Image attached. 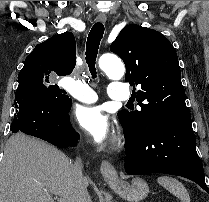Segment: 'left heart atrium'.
Listing matches in <instances>:
<instances>
[{"instance_id": "left-heart-atrium-1", "label": "left heart atrium", "mask_w": 209, "mask_h": 202, "mask_svg": "<svg viewBox=\"0 0 209 202\" xmlns=\"http://www.w3.org/2000/svg\"><path fill=\"white\" fill-rule=\"evenodd\" d=\"M75 120L95 143L103 142L110 134V121L99 106L79 107L75 112Z\"/></svg>"}]
</instances>
